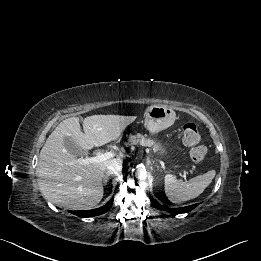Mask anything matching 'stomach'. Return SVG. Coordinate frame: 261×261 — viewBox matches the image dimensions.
Returning <instances> with one entry per match:
<instances>
[{"label":"stomach","instance_id":"1","mask_svg":"<svg viewBox=\"0 0 261 261\" xmlns=\"http://www.w3.org/2000/svg\"><path fill=\"white\" fill-rule=\"evenodd\" d=\"M175 119L176 113L172 108L166 105H151L146 109L144 126L151 134H157L173 125ZM155 144L161 154H166V149L160 143Z\"/></svg>","mask_w":261,"mask_h":261}]
</instances>
